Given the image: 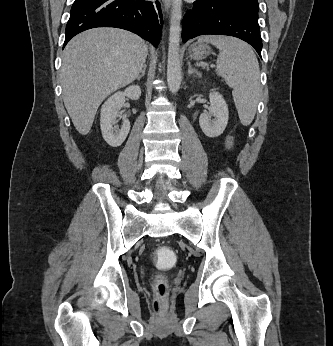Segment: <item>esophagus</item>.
I'll use <instances>...</instances> for the list:
<instances>
[{
	"label": "esophagus",
	"instance_id": "obj_1",
	"mask_svg": "<svg viewBox=\"0 0 333 346\" xmlns=\"http://www.w3.org/2000/svg\"><path fill=\"white\" fill-rule=\"evenodd\" d=\"M163 1V6H164V10L166 13H169L171 4H172V0H162Z\"/></svg>",
	"mask_w": 333,
	"mask_h": 346
}]
</instances>
